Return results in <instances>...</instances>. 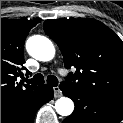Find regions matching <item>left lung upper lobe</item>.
Returning a JSON list of instances; mask_svg holds the SVG:
<instances>
[{
    "instance_id": "1",
    "label": "left lung upper lobe",
    "mask_w": 123,
    "mask_h": 123,
    "mask_svg": "<svg viewBox=\"0 0 123 123\" xmlns=\"http://www.w3.org/2000/svg\"><path fill=\"white\" fill-rule=\"evenodd\" d=\"M44 31L59 46L66 68L63 81L76 90L123 104V42L94 19H51Z\"/></svg>"
}]
</instances>
